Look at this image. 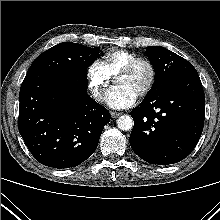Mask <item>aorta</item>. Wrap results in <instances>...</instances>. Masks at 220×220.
Listing matches in <instances>:
<instances>
[{"instance_id": "1", "label": "aorta", "mask_w": 220, "mask_h": 220, "mask_svg": "<svg viewBox=\"0 0 220 220\" xmlns=\"http://www.w3.org/2000/svg\"><path fill=\"white\" fill-rule=\"evenodd\" d=\"M134 121L129 115H122L117 120V126L123 131H129L133 128Z\"/></svg>"}]
</instances>
